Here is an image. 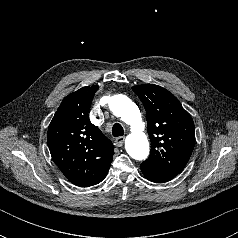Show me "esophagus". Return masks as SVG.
<instances>
[{
  "instance_id": "obj_1",
  "label": "esophagus",
  "mask_w": 238,
  "mask_h": 238,
  "mask_svg": "<svg viewBox=\"0 0 238 238\" xmlns=\"http://www.w3.org/2000/svg\"><path fill=\"white\" fill-rule=\"evenodd\" d=\"M124 137L123 136H120V137H117L116 139H115V145L117 146V147H121L122 145H123V143H124Z\"/></svg>"
}]
</instances>
